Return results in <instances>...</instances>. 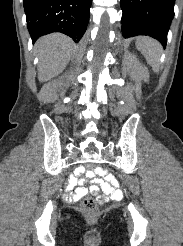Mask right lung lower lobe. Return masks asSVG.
<instances>
[{"label":"right lung lower lobe","instance_id":"right-lung-lower-lobe-1","mask_svg":"<svg viewBox=\"0 0 183 246\" xmlns=\"http://www.w3.org/2000/svg\"><path fill=\"white\" fill-rule=\"evenodd\" d=\"M92 0H24L32 41L60 32L79 42L89 22Z\"/></svg>","mask_w":183,"mask_h":246}]
</instances>
